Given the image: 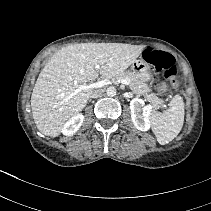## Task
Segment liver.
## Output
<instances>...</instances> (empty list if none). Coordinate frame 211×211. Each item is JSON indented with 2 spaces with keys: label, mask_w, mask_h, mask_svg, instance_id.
Returning a JSON list of instances; mask_svg holds the SVG:
<instances>
[{
  "label": "liver",
  "mask_w": 211,
  "mask_h": 211,
  "mask_svg": "<svg viewBox=\"0 0 211 211\" xmlns=\"http://www.w3.org/2000/svg\"><path fill=\"white\" fill-rule=\"evenodd\" d=\"M145 46L125 43H78L58 50L39 74L31 96L38 130L57 137L65 123L86 106L93 89L76 93L77 85L124 72Z\"/></svg>",
  "instance_id": "6515ba94"
}]
</instances>
